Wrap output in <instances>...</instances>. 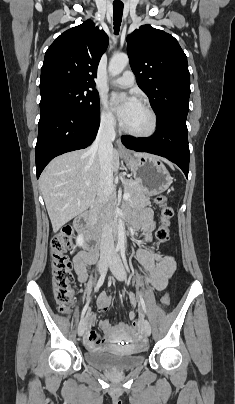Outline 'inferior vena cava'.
<instances>
[{"instance_id":"1","label":"inferior vena cava","mask_w":235,"mask_h":404,"mask_svg":"<svg viewBox=\"0 0 235 404\" xmlns=\"http://www.w3.org/2000/svg\"><path fill=\"white\" fill-rule=\"evenodd\" d=\"M115 125L116 121L114 118L109 117L104 119L100 124L96 139L90 148L91 152H97L101 168L100 186L97 193V199L100 205L107 204L113 190L112 142L115 139ZM100 251L101 256L114 252L112 227L109 222L103 227Z\"/></svg>"}]
</instances>
